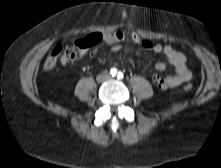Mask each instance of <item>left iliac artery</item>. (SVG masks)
I'll use <instances>...</instances> for the list:
<instances>
[{
	"instance_id": "44dca946",
	"label": "left iliac artery",
	"mask_w": 221,
	"mask_h": 168,
	"mask_svg": "<svg viewBox=\"0 0 221 168\" xmlns=\"http://www.w3.org/2000/svg\"><path fill=\"white\" fill-rule=\"evenodd\" d=\"M123 77H124L123 73L122 72H118L117 78L118 79H123Z\"/></svg>"
}]
</instances>
